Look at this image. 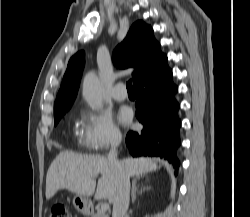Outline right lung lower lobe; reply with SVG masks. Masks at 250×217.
Listing matches in <instances>:
<instances>
[{
    "label": "right lung lower lobe",
    "mask_w": 250,
    "mask_h": 217,
    "mask_svg": "<svg viewBox=\"0 0 250 217\" xmlns=\"http://www.w3.org/2000/svg\"><path fill=\"white\" fill-rule=\"evenodd\" d=\"M134 87L136 118L143 124V130L127 134L126 145L130 153L133 156H159L178 169L180 162L176 151L180 146V106L175 99L178 88L172 81L167 57L164 56Z\"/></svg>",
    "instance_id": "obj_1"
}]
</instances>
